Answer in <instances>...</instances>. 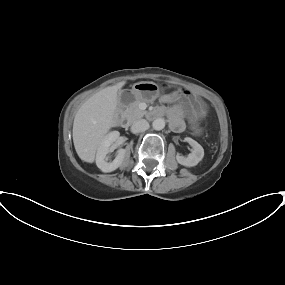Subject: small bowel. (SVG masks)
Returning <instances> with one entry per match:
<instances>
[{
	"label": "small bowel",
	"mask_w": 285,
	"mask_h": 285,
	"mask_svg": "<svg viewBox=\"0 0 285 285\" xmlns=\"http://www.w3.org/2000/svg\"><path fill=\"white\" fill-rule=\"evenodd\" d=\"M176 98H177V95L175 93H169V94L161 95L160 100L162 102H165V103H172L176 100ZM169 114H170V117L172 119V126H173L174 130H176V131L182 130L183 129V123H182L180 116H179L178 107L173 106L170 109ZM194 129L196 131H198L196 127H194Z\"/></svg>",
	"instance_id": "obj_1"
}]
</instances>
